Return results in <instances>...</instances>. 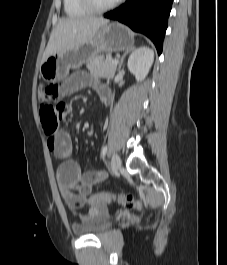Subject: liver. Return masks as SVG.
Wrapping results in <instances>:
<instances>
[{
    "instance_id": "liver-1",
    "label": "liver",
    "mask_w": 227,
    "mask_h": 265,
    "mask_svg": "<svg viewBox=\"0 0 227 265\" xmlns=\"http://www.w3.org/2000/svg\"><path fill=\"white\" fill-rule=\"evenodd\" d=\"M109 23L102 17L62 18L51 33L44 51L43 63L50 55L90 42L98 30Z\"/></svg>"
}]
</instances>
